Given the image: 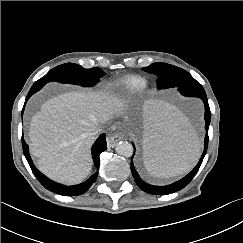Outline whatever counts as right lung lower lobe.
<instances>
[{
	"label": "right lung lower lobe",
	"mask_w": 243,
	"mask_h": 243,
	"mask_svg": "<svg viewBox=\"0 0 243 243\" xmlns=\"http://www.w3.org/2000/svg\"><path fill=\"white\" fill-rule=\"evenodd\" d=\"M44 85H33L26 97L25 104L27 100L37 91H39ZM24 110V107H23ZM22 147L24 155L34 173L36 178L39 180V182L48 190L65 196H74V195H80L84 192H86L91 185L95 182L97 178V173L91 176L87 181L75 185V186H64L62 184L56 183L49 178H47L45 175H43L33 164L30 154L28 152V145L25 143L23 137H22ZM107 149L106 147V140H105V134L100 135V137L95 141V143L92 146V157L94 164L99 169V161H100V154Z\"/></svg>",
	"instance_id": "1"
}]
</instances>
